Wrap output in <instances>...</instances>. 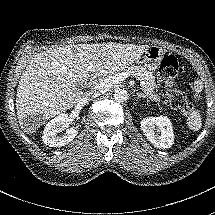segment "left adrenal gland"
Listing matches in <instances>:
<instances>
[{
	"mask_svg": "<svg viewBox=\"0 0 215 215\" xmlns=\"http://www.w3.org/2000/svg\"><path fill=\"white\" fill-rule=\"evenodd\" d=\"M136 95H137L138 99L139 98H145V96H144V94L142 92H137Z\"/></svg>",
	"mask_w": 215,
	"mask_h": 215,
	"instance_id": "obj_1",
	"label": "left adrenal gland"
}]
</instances>
